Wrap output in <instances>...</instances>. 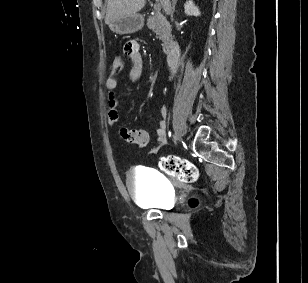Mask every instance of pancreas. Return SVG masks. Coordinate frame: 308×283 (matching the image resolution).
Here are the masks:
<instances>
[{
  "mask_svg": "<svg viewBox=\"0 0 308 283\" xmlns=\"http://www.w3.org/2000/svg\"><path fill=\"white\" fill-rule=\"evenodd\" d=\"M148 28L152 29L162 41L164 53H169L171 48V25L158 11L147 19Z\"/></svg>",
  "mask_w": 308,
  "mask_h": 283,
  "instance_id": "1",
  "label": "pancreas"
}]
</instances>
